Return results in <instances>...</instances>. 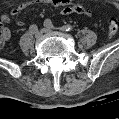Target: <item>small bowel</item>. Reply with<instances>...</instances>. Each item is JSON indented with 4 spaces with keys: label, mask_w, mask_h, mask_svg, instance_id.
<instances>
[{
    "label": "small bowel",
    "mask_w": 119,
    "mask_h": 119,
    "mask_svg": "<svg viewBox=\"0 0 119 119\" xmlns=\"http://www.w3.org/2000/svg\"><path fill=\"white\" fill-rule=\"evenodd\" d=\"M43 3L51 4L56 7H61L64 14H86L89 15V11L81 4L74 3L71 0H43ZM28 6V3L23 2L15 6L11 11V16H17L21 11H23ZM2 21L8 23L10 21V16L4 14L1 17ZM19 26L23 25L22 21H17ZM3 35L5 39L10 37V30L8 28L3 29Z\"/></svg>",
    "instance_id": "small-bowel-1"
}]
</instances>
